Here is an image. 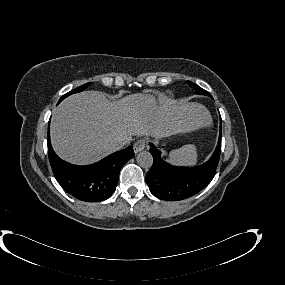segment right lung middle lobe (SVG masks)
Listing matches in <instances>:
<instances>
[{
	"mask_svg": "<svg viewBox=\"0 0 285 285\" xmlns=\"http://www.w3.org/2000/svg\"><path fill=\"white\" fill-rule=\"evenodd\" d=\"M88 86H89V83H86V84H84V85H82V86H80V87H78V88H76V89H74V90H72V91L66 93L65 95H63V96L61 97V99H60L59 101H62L64 98H66L67 96H69V95H71V94H73V93L81 92L82 90H84V89L87 88Z\"/></svg>",
	"mask_w": 285,
	"mask_h": 285,
	"instance_id": "right-lung-middle-lobe-1",
	"label": "right lung middle lobe"
}]
</instances>
